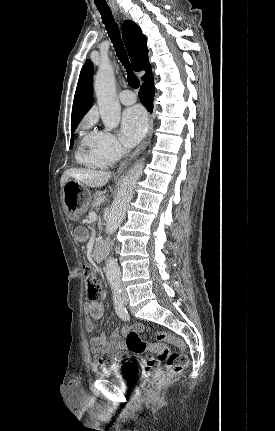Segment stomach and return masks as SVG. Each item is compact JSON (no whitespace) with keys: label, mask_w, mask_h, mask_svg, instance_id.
<instances>
[{"label":"stomach","mask_w":275,"mask_h":431,"mask_svg":"<svg viewBox=\"0 0 275 431\" xmlns=\"http://www.w3.org/2000/svg\"><path fill=\"white\" fill-rule=\"evenodd\" d=\"M62 200L67 216L77 221L89 208L91 192L83 183L68 180L62 187Z\"/></svg>","instance_id":"0dacf381"}]
</instances>
